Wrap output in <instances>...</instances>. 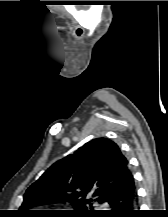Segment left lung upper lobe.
Here are the masks:
<instances>
[{"instance_id": "5c2ea615", "label": "left lung upper lobe", "mask_w": 168, "mask_h": 217, "mask_svg": "<svg viewBox=\"0 0 168 217\" xmlns=\"http://www.w3.org/2000/svg\"><path fill=\"white\" fill-rule=\"evenodd\" d=\"M132 174L128 161L118 146L105 138H97L73 154L54 163L25 192L20 210L57 202H70L76 217H91L99 211L88 210L93 202H104L121 189ZM99 196L96 200L91 197Z\"/></svg>"}]
</instances>
